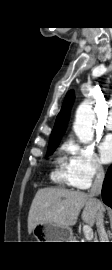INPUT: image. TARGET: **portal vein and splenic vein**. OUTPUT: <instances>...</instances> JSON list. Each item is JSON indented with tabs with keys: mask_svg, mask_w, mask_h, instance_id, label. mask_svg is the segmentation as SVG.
<instances>
[{
	"mask_svg": "<svg viewBox=\"0 0 112 270\" xmlns=\"http://www.w3.org/2000/svg\"><path fill=\"white\" fill-rule=\"evenodd\" d=\"M83 232H84V236L85 238L90 241L93 239V230L91 228V226L89 225H84L83 226Z\"/></svg>",
	"mask_w": 112,
	"mask_h": 270,
	"instance_id": "obj_1",
	"label": "portal vein and splenic vein"
}]
</instances>
